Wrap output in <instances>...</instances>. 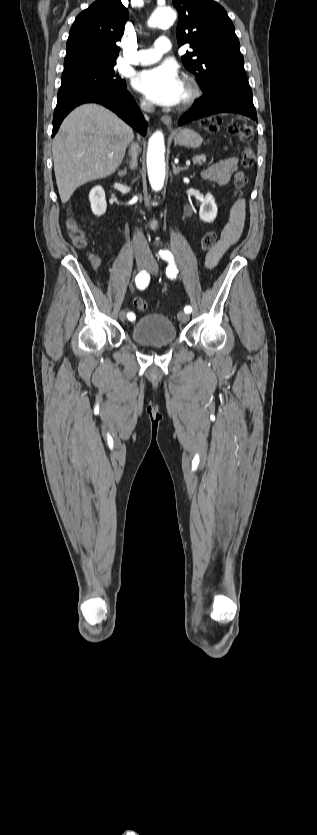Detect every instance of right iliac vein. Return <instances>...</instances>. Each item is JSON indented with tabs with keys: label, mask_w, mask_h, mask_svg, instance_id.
I'll list each match as a JSON object with an SVG mask.
<instances>
[{
	"label": "right iliac vein",
	"mask_w": 317,
	"mask_h": 835,
	"mask_svg": "<svg viewBox=\"0 0 317 835\" xmlns=\"http://www.w3.org/2000/svg\"><path fill=\"white\" fill-rule=\"evenodd\" d=\"M136 263H137V267H138V269H140V270H142V269H146V268L148 267V265H149V261H148L146 258H144V257H139V258H137ZM119 319H120L121 321H124V320L126 319V311L122 310V311L119 313Z\"/></svg>",
	"instance_id": "63e3f726"
}]
</instances>
